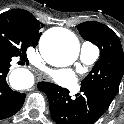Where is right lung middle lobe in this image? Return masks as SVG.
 Here are the masks:
<instances>
[{
	"label": "right lung middle lobe",
	"instance_id": "dd1d6c3e",
	"mask_svg": "<svg viewBox=\"0 0 124 124\" xmlns=\"http://www.w3.org/2000/svg\"><path fill=\"white\" fill-rule=\"evenodd\" d=\"M36 44L13 20L0 16V54L24 57L29 46Z\"/></svg>",
	"mask_w": 124,
	"mask_h": 124
}]
</instances>
